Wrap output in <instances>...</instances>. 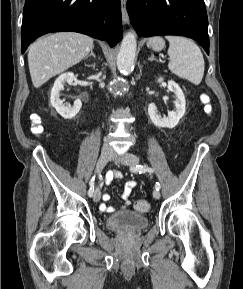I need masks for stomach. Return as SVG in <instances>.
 <instances>
[{
	"label": "stomach",
	"instance_id": "obj_1",
	"mask_svg": "<svg viewBox=\"0 0 243 289\" xmlns=\"http://www.w3.org/2000/svg\"><path fill=\"white\" fill-rule=\"evenodd\" d=\"M164 45L165 42L161 37H152L147 41V46L154 51H161Z\"/></svg>",
	"mask_w": 243,
	"mask_h": 289
}]
</instances>
